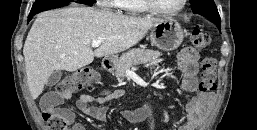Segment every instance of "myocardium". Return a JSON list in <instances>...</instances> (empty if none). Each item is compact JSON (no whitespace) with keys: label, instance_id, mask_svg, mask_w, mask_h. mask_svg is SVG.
<instances>
[{"label":"myocardium","instance_id":"obj_1","mask_svg":"<svg viewBox=\"0 0 257 130\" xmlns=\"http://www.w3.org/2000/svg\"><path fill=\"white\" fill-rule=\"evenodd\" d=\"M142 2L144 4V6L147 8V10L150 12L160 14V15H165V16H175L184 10V8L187 5L188 0H182L180 6L174 10L161 9L154 3V0H142Z\"/></svg>","mask_w":257,"mask_h":130}]
</instances>
